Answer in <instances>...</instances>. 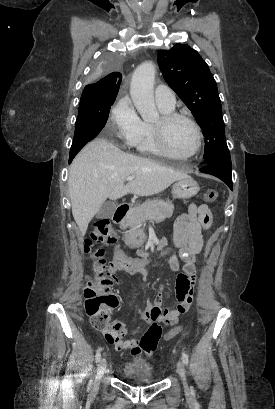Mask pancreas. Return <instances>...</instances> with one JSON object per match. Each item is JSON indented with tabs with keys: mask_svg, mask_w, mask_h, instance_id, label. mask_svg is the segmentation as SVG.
I'll use <instances>...</instances> for the list:
<instances>
[{
	"mask_svg": "<svg viewBox=\"0 0 275 409\" xmlns=\"http://www.w3.org/2000/svg\"><path fill=\"white\" fill-rule=\"evenodd\" d=\"M174 211V205L170 200H146L143 205L139 207H134L124 221L120 223V229H130L126 231L124 235V243L128 245L130 249H135V247H142L143 243L146 241V235L143 233V229H140L139 225L145 223V221H164V219H169L172 217Z\"/></svg>",
	"mask_w": 275,
	"mask_h": 409,
	"instance_id": "cf45deb5",
	"label": "pancreas"
}]
</instances>
